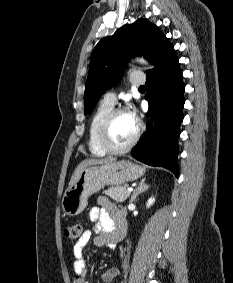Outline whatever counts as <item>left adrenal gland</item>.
Wrapping results in <instances>:
<instances>
[{"label":"left adrenal gland","mask_w":233,"mask_h":283,"mask_svg":"<svg viewBox=\"0 0 233 283\" xmlns=\"http://www.w3.org/2000/svg\"><path fill=\"white\" fill-rule=\"evenodd\" d=\"M149 187H150V186L145 183V178L142 179V180L139 182L138 186H137V187L135 188V190L133 191V194H132V196H131L130 202H131V203L134 202V201L136 200L137 196H139L140 194H142L143 192H145L146 190H148Z\"/></svg>","instance_id":"obj_1"}]
</instances>
